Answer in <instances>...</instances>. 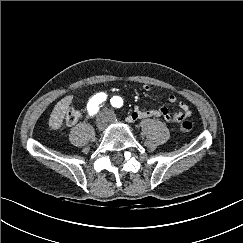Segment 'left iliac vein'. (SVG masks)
<instances>
[{
	"mask_svg": "<svg viewBox=\"0 0 243 243\" xmlns=\"http://www.w3.org/2000/svg\"><path fill=\"white\" fill-rule=\"evenodd\" d=\"M105 115L108 121H114L116 119V116L111 111H105Z\"/></svg>",
	"mask_w": 243,
	"mask_h": 243,
	"instance_id": "1",
	"label": "left iliac vein"
}]
</instances>
